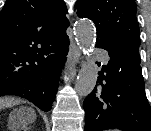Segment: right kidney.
Returning a JSON list of instances; mask_svg holds the SVG:
<instances>
[{
  "label": "right kidney",
  "instance_id": "ca27d5eb",
  "mask_svg": "<svg viewBox=\"0 0 151 131\" xmlns=\"http://www.w3.org/2000/svg\"><path fill=\"white\" fill-rule=\"evenodd\" d=\"M14 118H15V117H14ZM23 124H24V122H23L22 120H20V122L18 123V125H17V123H16V122H13V126H14V127H13V129H12V130H13V131H14V130H16V128H18L17 126H19V125H23Z\"/></svg>",
  "mask_w": 151,
  "mask_h": 131
}]
</instances>
